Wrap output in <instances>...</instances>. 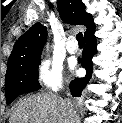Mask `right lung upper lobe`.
<instances>
[{
    "label": "right lung upper lobe",
    "mask_w": 122,
    "mask_h": 123,
    "mask_svg": "<svg viewBox=\"0 0 122 123\" xmlns=\"http://www.w3.org/2000/svg\"><path fill=\"white\" fill-rule=\"evenodd\" d=\"M57 6L62 20L72 25H85V36L95 30L91 14L86 13L82 0H57ZM47 39L46 27L39 22L34 24L15 43L8 59L7 69L41 55Z\"/></svg>",
    "instance_id": "1"
}]
</instances>
